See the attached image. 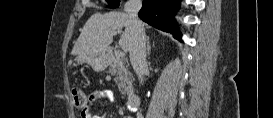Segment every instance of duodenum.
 <instances>
[{"instance_id":"410a0bca","label":"duodenum","mask_w":273,"mask_h":118,"mask_svg":"<svg viewBox=\"0 0 273 118\" xmlns=\"http://www.w3.org/2000/svg\"><path fill=\"white\" fill-rule=\"evenodd\" d=\"M140 100V94L137 91L132 90L127 93L126 101L130 107L136 108L139 105Z\"/></svg>"}]
</instances>
